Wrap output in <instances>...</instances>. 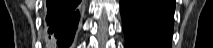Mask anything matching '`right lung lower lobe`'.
Segmentation results:
<instances>
[{"label":"right lung lower lobe","mask_w":213,"mask_h":48,"mask_svg":"<svg viewBox=\"0 0 213 48\" xmlns=\"http://www.w3.org/2000/svg\"><path fill=\"white\" fill-rule=\"evenodd\" d=\"M81 0H47V23L51 39L57 46L65 48L73 40L79 20Z\"/></svg>","instance_id":"98d812e1"}]
</instances>
